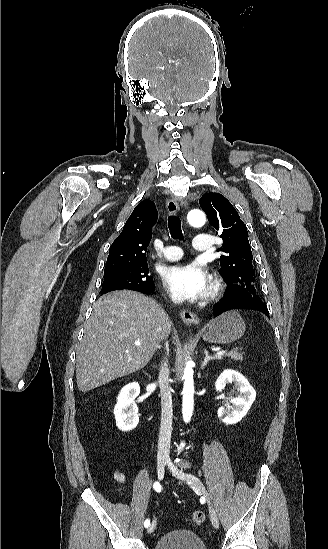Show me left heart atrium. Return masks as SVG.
<instances>
[{
	"mask_svg": "<svg viewBox=\"0 0 328 549\" xmlns=\"http://www.w3.org/2000/svg\"><path fill=\"white\" fill-rule=\"evenodd\" d=\"M164 284L178 301L206 297L212 288V278L198 262L170 268L164 276Z\"/></svg>",
	"mask_w": 328,
	"mask_h": 549,
	"instance_id": "obj_1",
	"label": "left heart atrium"
}]
</instances>
